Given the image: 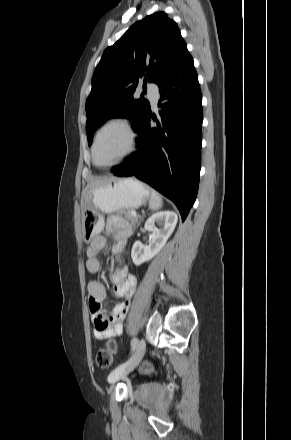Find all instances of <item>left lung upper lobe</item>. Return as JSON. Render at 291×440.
<instances>
[{
    "mask_svg": "<svg viewBox=\"0 0 291 440\" xmlns=\"http://www.w3.org/2000/svg\"><path fill=\"white\" fill-rule=\"evenodd\" d=\"M188 52L177 24L164 12L147 16L132 25L105 49L92 77L86 101V133L91 145L94 131L107 119L128 118L137 133L150 110L147 100H135L139 78L157 85Z\"/></svg>",
    "mask_w": 291,
    "mask_h": 440,
    "instance_id": "1",
    "label": "left lung upper lobe"
}]
</instances>
